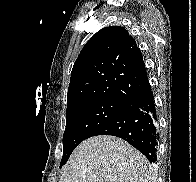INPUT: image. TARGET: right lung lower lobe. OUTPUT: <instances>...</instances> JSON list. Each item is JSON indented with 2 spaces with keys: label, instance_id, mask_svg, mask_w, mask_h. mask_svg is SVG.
<instances>
[{
  "label": "right lung lower lobe",
  "instance_id": "right-lung-lower-lobe-1",
  "mask_svg": "<svg viewBox=\"0 0 196 182\" xmlns=\"http://www.w3.org/2000/svg\"><path fill=\"white\" fill-rule=\"evenodd\" d=\"M96 135L120 137L142 152L151 163L156 164L159 132L151 86L126 111L99 128L93 134Z\"/></svg>",
  "mask_w": 196,
  "mask_h": 182
}]
</instances>
